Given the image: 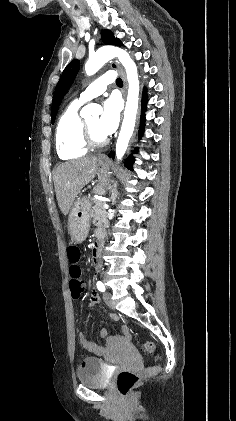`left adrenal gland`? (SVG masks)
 I'll return each instance as SVG.
<instances>
[{"label": "left adrenal gland", "instance_id": "left-adrenal-gland-1", "mask_svg": "<svg viewBox=\"0 0 236 421\" xmlns=\"http://www.w3.org/2000/svg\"><path fill=\"white\" fill-rule=\"evenodd\" d=\"M116 186H117V184H114V186L111 190V192H112V194L110 196V198L112 200L111 204H115V202H116V196L118 194V190H117Z\"/></svg>", "mask_w": 236, "mask_h": 421}]
</instances>
